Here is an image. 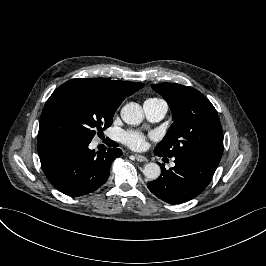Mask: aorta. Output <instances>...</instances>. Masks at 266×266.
<instances>
[{"label": "aorta", "instance_id": "1", "mask_svg": "<svg viewBox=\"0 0 266 266\" xmlns=\"http://www.w3.org/2000/svg\"><path fill=\"white\" fill-rule=\"evenodd\" d=\"M121 118L127 124L138 125L144 119V112L138 103L130 102L121 109ZM143 174L149 180H156L161 174V168L151 162L144 166Z\"/></svg>", "mask_w": 266, "mask_h": 266}]
</instances>
